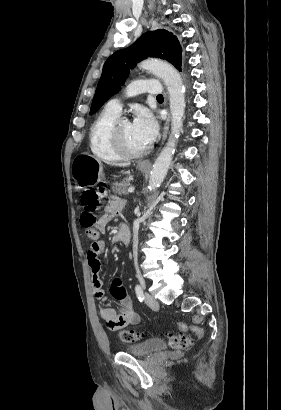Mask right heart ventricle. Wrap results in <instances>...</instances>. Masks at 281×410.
Instances as JSON below:
<instances>
[{
  "instance_id": "obj_1",
  "label": "right heart ventricle",
  "mask_w": 281,
  "mask_h": 410,
  "mask_svg": "<svg viewBox=\"0 0 281 410\" xmlns=\"http://www.w3.org/2000/svg\"><path fill=\"white\" fill-rule=\"evenodd\" d=\"M118 117L119 112L106 106L91 125L89 147L97 159L105 162H116L123 159L110 140L111 127Z\"/></svg>"
}]
</instances>
